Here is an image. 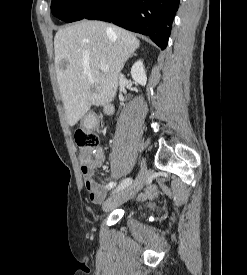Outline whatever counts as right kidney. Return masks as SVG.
Returning a JSON list of instances; mask_svg holds the SVG:
<instances>
[{
	"label": "right kidney",
	"mask_w": 247,
	"mask_h": 275,
	"mask_svg": "<svg viewBox=\"0 0 247 275\" xmlns=\"http://www.w3.org/2000/svg\"><path fill=\"white\" fill-rule=\"evenodd\" d=\"M131 76L138 84L145 86L147 82V76L144 69L143 62L141 60L134 63L131 68Z\"/></svg>",
	"instance_id": "obj_1"
}]
</instances>
